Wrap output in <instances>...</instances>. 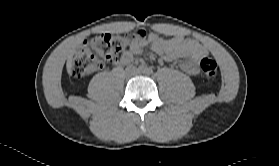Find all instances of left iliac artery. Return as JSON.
<instances>
[{
  "mask_svg": "<svg viewBox=\"0 0 279 166\" xmlns=\"http://www.w3.org/2000/svg\"><path fill=\"white\" fill-rule=\"evenodd\" d=\"M153 71H152V69H150V68H148L147 70H146V73L147 74H151Z\"/></svg>",
  "mask_w": 279,
  "mask_h": 166,
  "instance_id": "left-iliac-artery-1",
  "label": "left iliac artery"
}]
</instances>
